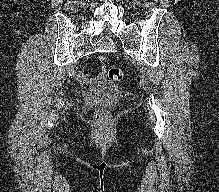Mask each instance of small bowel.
Wrapping results in <instances>:
<instances>
[{
    "mask_svg": "<svg viewBox=\"0 0 219 192\" xmlns=\"http://www.w3.org/2000/svg\"><path fill=\"white\" fill-rule=\"evenodd\" d=\"M103 77H104V72H100L99 74H97V75H95L91 78H88L86 76V74L83 73V72L80 73V75H79V79L82 80V81H87V80H89V81H98V80H101Z\"/></svg>",
    "mask_w": 219,
    "mask_h": 192,
    "instance_id": "small-bowel-1",
    "label": "small bowel"
}]
</instances>
